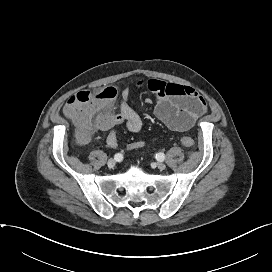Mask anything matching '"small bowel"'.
<instances>
[{"mask_svg": "<svg viewBox=\"0 0 272 272\" xmlns=\"http://www.w3.org/2000/svg\"><path fill=\"white\" fill-rule=\"evenodd\" d=\"M137 86L145 87L155 94L154 114L170 130L188 131L208 111L205 99L192 87L153 78L141 80L137 82ZM129 93L130 88L125 87L122 91L119 113L102 115L97 122L100 130H110L107 144L111 148L118 145L115 126L125 124L129 131L138 132L143 125L142 118L128 104ZM142 146L141 141H135L129 145V149L137 150Z\"/></svg>", "mask_w": 272, "mask_h": 272, "instance_id": "1", "label": "small bowel"}]
</instances>
